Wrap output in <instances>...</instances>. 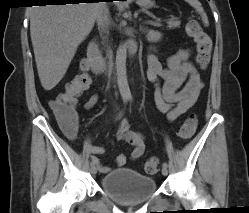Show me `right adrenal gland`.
Returning a JSON list of instances; mask_svg holds the SVG:
<instances>
[{
  "label": "right adrenal gland",
  "instance_id": "1",
  "mask_svg": "<svg viewBox=\"0 0 249 213\" xmlns=\"http://www.w3.org/2000/svg\"><path fill=\"white\" fill-rule=\"evenodd\" d=\"M105 16H106V18H108V19H109V13H108V11H106Z\"/></svg>",
  "mask_w": 249,
  "mask_h": 213
}]
</instances>
